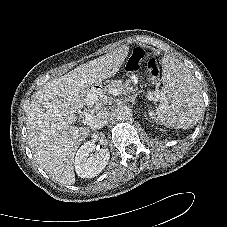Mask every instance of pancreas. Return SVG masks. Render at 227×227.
<instances>
[{"label":"pancreas","instance_id":"cf45deb5","mask_svg":"<svg viewBox=\"0 0 227 227\" xmlns=\"http://www.w3.org/2000/svg\"><path fill=\"white\" fill-rule=\"evenodd\" d=\"M114 89H117L118 90V93L119 95H128V94H134L135 91L137 90L136 88L130 86L129 83H124L122 80H112L109 82L108 85H106V87L99 91V90H95V89H92V90H89L88 93H93L95 94V96L97 97L98 101L100 99V97L104 94H112V91ZM134 95H137V94H134ZM96 101V102H98Z\"/></svg>","mask_w":227,"mask_h":227}]
</instances>
